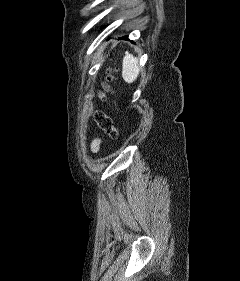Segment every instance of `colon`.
Listing matches in <instances>:
<instances>
[{
    "instance_id": "obj_1",
    "label": "colon",
    "mask_w": 240,
    "mask_h": 281,
    "mask_svg": "<svg viewBox=\"0 0 240 281\" xmlns=\"http://www.w3.org/2000/svg\"><path fill=\"white\" fill-rule=\"evenodd\" d=\"M106 80L109 82L112 80V74L108 73ZM93 120L96 122L98 127L107 133L111 137H116L118 135V129L116 128L113 120L101 111L94 112L92 116Z\"/></svg>"
}]
</instances>
